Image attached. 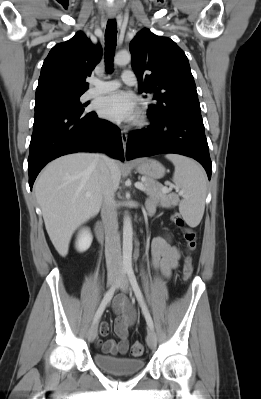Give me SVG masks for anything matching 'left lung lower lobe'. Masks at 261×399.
Segmentation results:
<instances>
[{
    "label": "left lung lower lobe",
    "mask_w": 261,
    "mask_h": 399,
    "mask_svg": "<svg viewBox=\"0 0 261 399\" xmlns=\"http://www.w3.org/2000/svg\"><path fill=\"white\" fill-rule=\"evenodd\" d=\"M148 128L131 133L126 158L175 153L197 160L211 178L212 163L200 110H183L166 118L148 113Z\"/></svg>",
    "instance_id": "obj_1"
}]
</instances>
